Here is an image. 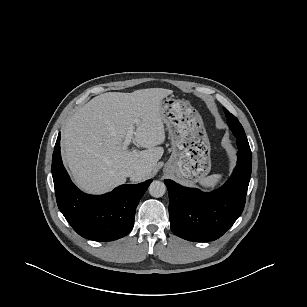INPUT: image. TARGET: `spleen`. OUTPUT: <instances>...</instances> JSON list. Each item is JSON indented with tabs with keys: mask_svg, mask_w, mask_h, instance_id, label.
Segmentation results:
<instances>
[{
	"mask_svg": "<svg viewBox=\"0 0 307 307\" xmlns=\"http://www.w3.org/2000/svg\"><path fill=\"white\" fill-rule=\"evenodd\" d=\"M221 178H222L221 174H214V175L206 177L200 183H201V186L206 189H213L218 185Z\"/></svg>",
	"mask_w": 307,
	"mask_h": 307,
	"instance_id": "spleen-1",
	"label": "spleen"
}]
</instances>
